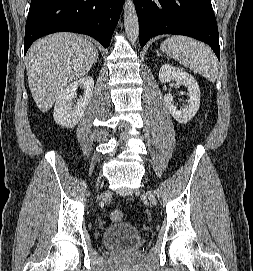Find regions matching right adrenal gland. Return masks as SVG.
<instances>
[{
  "instance_id": "1",
  "label": "right adrenal gland",
  "mask_w": 253,
  "mask_h": 271,
  "mask_svg": "<svg viewBox=\"0 0 253 271\" xmlns=\"http://www.w3.org/2000/svg\"><path fill=\"white\" fill-rule=\"evenodd\" d=\"M97 59H98V55H97V58H96V62H97Z\"/></svg>"
}]
</instances>
